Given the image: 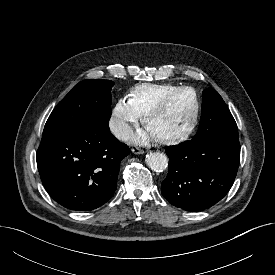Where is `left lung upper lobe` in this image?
<instances>
[{
	"mask_svg": "<svg viewBox=\"0 0 275 275\" xmlns=\"http://www.w3.org/2000/svg\"><path fill=\"white\" fill-rule=\"evenodd\" d=\"M202 113L197 139H238L236 122L222 97L212 88L202 93Z\"/></svg>",
	"mask_w": 275,
	"mask_h": 275,
	"instance_id": "5c2ea615",
	"label": "left lung upper lobe"
}]
</instances>
